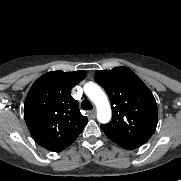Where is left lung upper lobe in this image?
<instances>
[{
    "label": "left lung upper lobe",
    "mask_w": 181,
    "mask_h": 181,
    "mask_svg": "<svg viewBox=\"0 0 181 181\" xmlns=\"http://www.w3.org/2000/svg\"><path fill=\"white\" fill-rule=\"evenodd\" d=\"M96 82L107 92L113 117L102 131L125 149L145 144L155 132L158 108L155 98L143 81L129 68L97 70Z\"/></svg>",
    "instance_id": "obj_1"
}]
</instances>
